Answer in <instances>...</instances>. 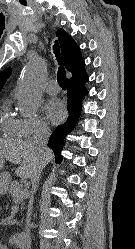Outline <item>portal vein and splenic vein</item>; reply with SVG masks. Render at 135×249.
I'll use <instances>...</instances> for the list:
<instances>
[{
  "label": "portal vein and splenic vein",
  "mask_w": 135,
  "mask_h": 249,
  "mask_svg": "<svg viewBox=\"0 0 135 249\" xmlns=\"http://www.w3.org/2000/svg\"><path fill=\"white\" fill-rule=\"evenodd\" d=\"M24 193L21 192L17 198V201H21L23 199Z\"/></svg>",
  "instance_id": "obj_1"
}]
</instances>
